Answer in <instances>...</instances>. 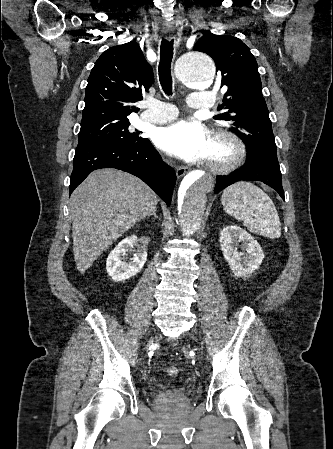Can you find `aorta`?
Listing matches in <instances>:
<instances>
[{
  "mask_svg": "<svg viewBox=\"0 0 333 449\" xmlns=\"http://www.w3.org/2000/svg\"><path fill=\"white\" fill-rule=\"evenodd\" d=\"M215 72L213 60L204 52H191L179 61V78L190 88H208ZM214 185L212 176L199 171L190 172L180 182L177 202L184 235H192L197 231L204 214L207 195Z\"/></svg>",
  "mask_w": 333,
  "mask_h": 449,
  "instance_id": "obj_1",
  "label": "aorta"
}]
</instances>
